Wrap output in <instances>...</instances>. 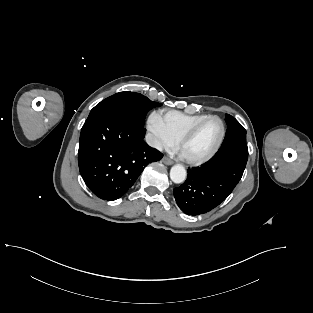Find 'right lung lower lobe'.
I'll return each instance as SVG.
<instances>
[{"mask_svg": "<svg viewBox=\"0 0 313 313\" xmlns=\"http://www.w3.org/2000/svg\"><path fill=\"white\" fill-rule=\"evenodd\" d=\"M145 132L113 114L85 121L78 164L84 182L97 197L107 201L122 197L150 162L163 157L143 141Z\"/></svg>", "mask_w": 313, "mask_h": 313, "instance_id": "right-lung-lower-lobe-1", "label": "right lung lower lobe"}]
</instances>
